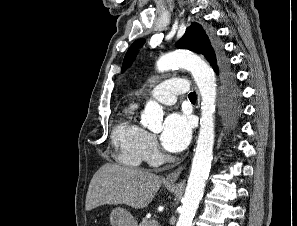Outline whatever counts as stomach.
<instances>
[{
  "label": "stomach",
  "mask_w": 297,
  "mask_h": 226,
  "mask_svg": "<svg viewBox=\"0 0 297 226\" xmlns=\"http://www.w3.org/2000/svg\"><path fill=\"white\" fill-rule=\"evenodd\" d=\"M111 226H137L134 217L124 208H115L110 214Z\"/></svg>",
  "instance_id": "stomach-1"
}]
</instances>
